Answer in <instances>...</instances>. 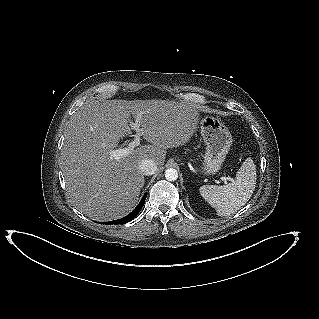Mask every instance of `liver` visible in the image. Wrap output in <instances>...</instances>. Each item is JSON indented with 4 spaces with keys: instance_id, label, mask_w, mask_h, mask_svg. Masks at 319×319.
<instances>
[{
    "instance_id": "1",
    "label": "liver",
    "mask_w": 319,
    "mask_h": 319,
    "mask_svg": "<svg viewBox=\"0 0 319 319\" xmlns=\"http://www.w3.org/2000/svg\"><path fill=\"white\" fill-rule=\"evenodd\" d=\"M140 116L142 145L116 160L111 151L132 133L130 115ZM197 107L168 100H89L69 121L61 150V169L70 203L95 221L122 218L135 207L151 159L162 168L166 149L187 143L198 126Z\"/></svg>"
}]
</instances>
